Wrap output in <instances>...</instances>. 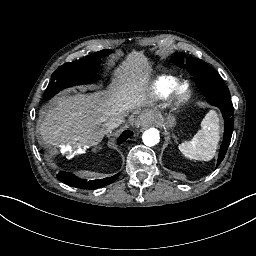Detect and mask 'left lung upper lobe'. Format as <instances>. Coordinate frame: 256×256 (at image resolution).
<instances>
[{
    "label": "left lung upper lobe",
    "mask_w": 256,
    "mask_h": 256,
    "mask_svg": "<svg viewBox=\"0 0 256 256\" xmlns=\"http://www.w3.org/2000/svg\"><path fill=\"white\" fill-rule=\"evenodd\" d=\"M172 61L186 69L196 78V84L202 90L207 101L220 108L225 119L224 139L219 152L217 166L224 159L229 147L234 127L233 105L230 92L217 72L207 63L200 59L187 58L186 64L183 59L173 57Z\"/></svg>",
    "instance_id": "left-lung-upper-lobe-1"
}]
</instances>
